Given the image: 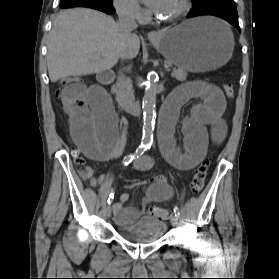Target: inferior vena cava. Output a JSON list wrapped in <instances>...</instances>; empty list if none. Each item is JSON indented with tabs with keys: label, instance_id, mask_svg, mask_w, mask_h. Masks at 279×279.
Segmentation results:
<instances>
[{
	"label": "inferior vena cava",
	"instance_id": "602c4592",
	"mask_svg": "<svg viewBox=\"0 0 279 279\" xmlns=\"http://www.w3.org/2000/svg\"><path fill=\"white\" fill-rule=\"evenodd\" d=\"M119 23L118 28L121 35L120 42V53L121 59H128L127 50H126V40L131 35V32L137 28V23L132 11L130 10H120L118 12Z\"/></svg>",
	"mask_w": 279,
	"mask_h": 279
}]
</instances>
